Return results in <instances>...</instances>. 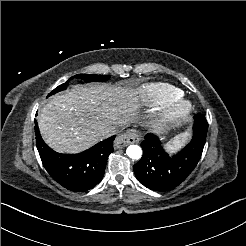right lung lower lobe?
<instances>
[{
	"instance_id": "obj_1",
	"label": "right lung lower lobe",
	"mask_w": 246,
	"mask_h": 246,
	"mask_svg": "<svg viewBox=\"0 0 246 246\" xmlns=\"http://www.w3.org/2000/svg\"><path fill=\"white\" fill-rule=\"evenodd\" d=\"M36 142L42 163L51 177L74 192L92 189L103 178L108 155L114 151L112 136L79 154H59L41 138L35 121Z\"/></svg>"
}]
</instances>
